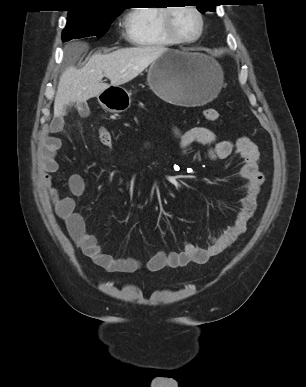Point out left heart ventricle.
<instances>
[{
  "instance_id": "left-heart-ventricle-1",
  "label": "left heart ventricle",
  "mask_w": 306,
  "mask_h": 387,
  "mask_svg": "<svg viewBox=\"0 0 306 387\" xmlns=\"http://www.w3.org/2000/svg\"><path fill=\"white\" fill-rule=\"evenodd\" d=\"M173 24L177 33L184 38H193L199 31L198 16L186 7H180L175 11Z\"/></svg>"
}]
</instances>
